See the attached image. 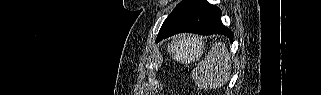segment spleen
<instances>
[{
    "label": "spleen",
    "instance_id": "obj_1",
    "mask_svg": "<svg viewBox=\"0 0 321 95\" xmlns=\"http://www.w3.org/2000/svg\"><path fill=\"white\" fill-rule=\"evenodd\" d=\"M230 74V53L226 46L219 42L214 44L204 60L199 62L193 78L200 88H219L229 80Z\"/></svg>",
    "mask_w": 321,
    "mask_h": 95
}]
</instances>
